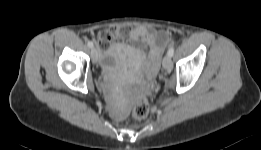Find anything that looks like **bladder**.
<instances>
[{"mask_svg": "<svg viewBox=\"0 0 261 150\" xmlns=\"http://www.w3.org/2000/svg\"><path fill=\"white\" fill-rule=\"evenodd\" d=\"M119 55L117 49L109 52L103 59V67L107 70L114 69L118 65Z\"/></svg>", "mask_w": 261, "mask_h": 150, "instance_id": "1", "label": "bladder"}]
</instances>
